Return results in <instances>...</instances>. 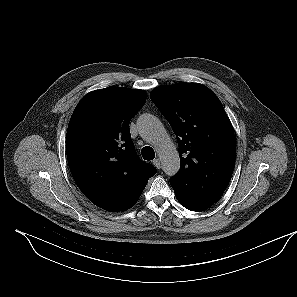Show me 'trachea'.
<instances>
[{
	"instance_id": "1",
	"label": "trachea",
	"mask_w": 297,
	"mask_h": 297,
	"mask_svg": "<svg viewBox=\"0 0 297 297\" xmlns=\"http://www.w3.org/2000/svg\"><path fill=\"white\" fill-rule=\"evenodd\" d=\"M141 154H142L143 159H145V160H153L155 157V152H154L153 148L150 146L143 147L141 150Z\"/></svg>"
}]
</instances>
